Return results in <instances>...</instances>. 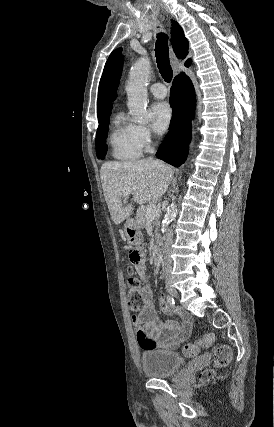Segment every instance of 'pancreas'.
<instances>
[{
  "instance_id": "cf45deb5",
  "label": "pancreas",
  "mask_w": 274,
  "mask_h": 427,
  "mask_svg": "<svg viewBox=\"0 0 274 427\" xmlns=\"http://www.w3.org/2000/svg\"><path fill=\"white\" fill-rule=\"evenodd\" d=\"M147 208H148V206H141V208H139V210H137L136 223H138V227H146V223L148 221V219L146 217ZM160 214H161V212H158V215H155V217H154L155 221H153V223H159L158 219L160 217ZM156 235H158L157 229H156Z\"/></svg>"
}]
</instances>
